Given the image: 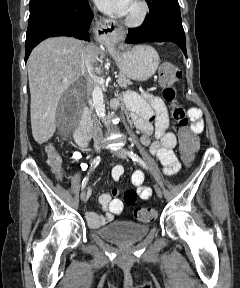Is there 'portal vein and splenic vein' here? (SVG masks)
Listing matches in <instances>:
<instances>
[{"mask_svg":"<svg viewBox=\"0 0 240 288\" xmlns=\"http://www.w3.org/2000/svg\"><path fill=\"white\" fill-rule=\"evenodd\" d=\"M116 77H117V76H116ZM66 81H67L66 79L63 80V82H66Z\"/></svg>","mask_w":240,"mask_h":288,"instance_id":"1","label":"portal vein and splenic vein"}]
</instances>
